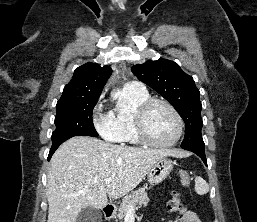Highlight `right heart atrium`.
<instances>
[{
  "label": "right heart atrium",
  "instance_id": "d8ad5b80",
  "mask_svg": "<svg viewBox=\"0 0 257 222\" xmlns=\"http://www.w3.org/2000/svg\"><path fill=\"white\" fill-rule=\"evenodd\" d=\"M95 126L97 131L102 137L110 141H113L115 139L116 133L114 131L113 122L110 115H108L104 119V121L96 122Z\"/></svg>",
  "mask_w": 257,
  "mask_h": 222
}]
</instances>
